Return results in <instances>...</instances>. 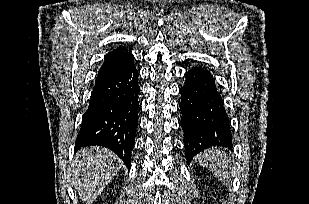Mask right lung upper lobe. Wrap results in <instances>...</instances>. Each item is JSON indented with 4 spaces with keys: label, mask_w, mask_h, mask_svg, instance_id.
<instances>
[{
    "label": "right lung upper lobe",
    "mask_w": 309,
    "mask_h": 204,
    "mask_svg": "<svg viewBox=\"0 0 309 204\" xmlns=\"http://www.w3.org/2000/svg\"><path fill=\"white\" fill-rule=\"evenodd\" d=\"M134 64V56L125 47H118L109 52L99 69L97 80L119 72Z\"/></svg>",
    "instance_id": "right-lung-upper-lobe-1"
}]
</instances>
